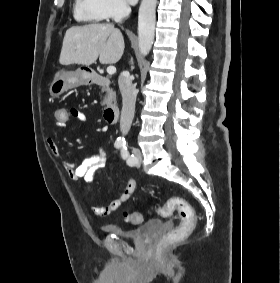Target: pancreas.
Segmentation results:
<instances>
[{"mask_svg": "<svg viewBox=\"0 0 280 283\" xmlns=\"http://www.w3.org/2000/svg\"><path fill=\"white\" fill-rule=\"evenodd\" d=\"M106 102H107V96L104 97L103 104H106Z\"/></svg>", "mask_w": 280, "mask_h": 283, "instance_id": "obj_1", "label": "pancreas"}]
</instances>
